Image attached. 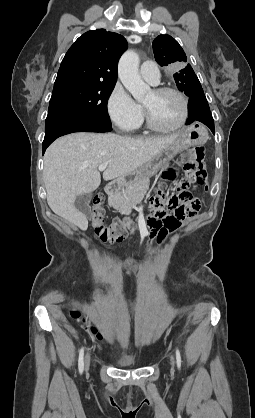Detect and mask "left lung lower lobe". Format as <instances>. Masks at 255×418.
I'll return each mask as SVG.
<instances>
[{
	"instance_id": "1",
	"label": "left lung lower lobe",
	"mask_w": 255,
	"mask_h": 418,
	"mask_svg": "<svg viewBox=\"0 0 255 418\" xmlns=\"http://www.w3.org/2000/svg\"><path fill=\"white\" fill-rule=\"evenodd\" d=\"M188 116L186 125L199 121L208 126L214 134V120L205 95L194 96L189 99Z\"/></svg>"
}]
</instances>
